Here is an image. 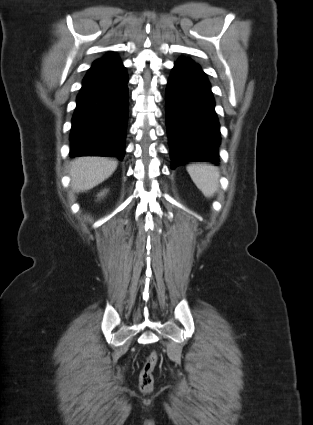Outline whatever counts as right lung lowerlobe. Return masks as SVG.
<instances>
[{
    "mask_svg": "<svg viewBox=\"0 0 313 425\" xmlns=\"http://www.w3.org/2000/svg\"><path fill=\"white\" fill-rule=\"evenodd\" d=\"M128 77L119 57L96 60L82 82L70 134L71 157L123 159L128 120Z\"/></svg>",
    "mask_w": 313,
    "mask_h": 425,
    "instance_id": "obj_1",
    "label": "right lung lower lobe"
}]
</instances>
